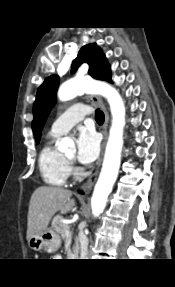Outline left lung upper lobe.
I'll return each mask as SVG.
<instances>
[{
	"label": "left lung upper lobe",
	"mask_w": 175,
	"mask_h": 287,
	"mask_svg": "<svg viewBox=\"0 0 175 287\" xmlns=\"http://www.w3.org/2000/svg\"><path fill=\"white\" fill-rule=\"evenodd\" d=\"M87 62L90 66L89 75L95 79L112 82L110 66L102 50L95 44H88L81 48L79 54L72 65L71 72L74 73L78 67ZM59 77L52 75L45 79L39 87L33 107L34 119L32 129L37 144L40 141L41 130L45 124L47 116L56 102V92L58 89Z\"/></svg>",
	"instance_id": "5c2ea615"
}]
</instances>
